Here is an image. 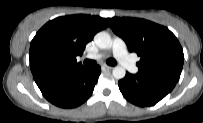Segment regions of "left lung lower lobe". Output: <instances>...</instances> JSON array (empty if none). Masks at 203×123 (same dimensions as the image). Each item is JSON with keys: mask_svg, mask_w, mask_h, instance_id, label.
I'll list each match as a JSON object with an SVG mask.
<instances>
[{"mask_svg": "<svg viewBox=\"0 0 203 123\" xmlns=\"http://www.w3.org/2000/svg\"><path fill=\"white\" fill-rule=\"evenodd\" d=\"M177 82L159 76L130 74L118 82L123 96L137 106H152L164 98Z\"/></svg>", "mask_w": 203, "mask_h": 123, "instance_id": "1", "label": "left lung lower lobe"}]
</instances>
